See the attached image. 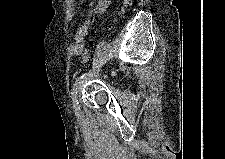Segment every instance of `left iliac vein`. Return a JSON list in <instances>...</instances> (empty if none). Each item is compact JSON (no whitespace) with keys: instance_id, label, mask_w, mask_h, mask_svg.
Wrapping results in <instances>:
<instances>
[{"instance_id":"1","label":"left iliac vein","mask_w":225,"mask_h":159,"mask_svg":"<svg viewBox=\"0 0 225 159\" xmlns=\"http://www.w3.org/2000/svg\"><path fill=\"white\" fill-rule=\"evenodd\" d=\"M73 104L75 105L74 109H77L78 108V104L76 103V101H74ZM75 111H78V110H75Z\"/></svg>"}]
</instances>
